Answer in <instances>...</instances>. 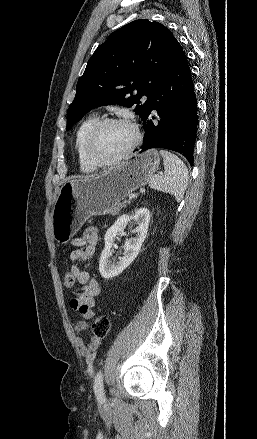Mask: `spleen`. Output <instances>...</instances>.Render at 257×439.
I'll use <instances>...</instances> for the list:
<instances>
[{
	"instance_id": "3e777b00",
	"label": "spleen",
	"mask_w": 257,
	"mask_h": 439,
	"mask_svg": "<svg viewBox=\"0 0 257 439\" xmlns=\"http://www.w3.org/2000/svg\"><path fill=\"white\" fill-rule=\"evenodd\" d=\"M160 155L163 157L165 171L152 176L149 186L175 196L177 202H180L188 184V170L183 161L173 153L160 150Z\"/></svg>"
}]
</instances>
